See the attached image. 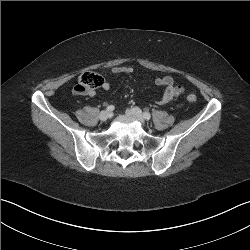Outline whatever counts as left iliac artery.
Instances as JSON below:
<instances>
[{
	"label": "left iliac artery",
	"instance_id": "left-iliac-artery-1",
	"mask_svg": "<svg viewBox=\"0 0 250 250\" xmlns=\"http://www.w3.org/2000/svg\"><path fill=\"white\" fill-rule=\"evenodd\" d=\"M143 116H144V118L147 119V120H149V119L151 118V114H150L149 112H147V111H145V112L143 113Z\"/></svg>",
	"mask_w": 250,
	"mask_h": 250
}]
</instances>
